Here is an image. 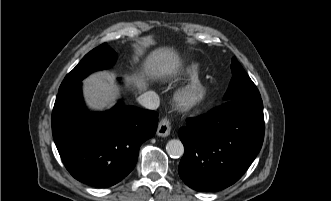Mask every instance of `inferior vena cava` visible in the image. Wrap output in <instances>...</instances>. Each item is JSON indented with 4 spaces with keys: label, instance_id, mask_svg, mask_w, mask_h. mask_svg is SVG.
Instances as JSON below:
<instances>
[{
    "label": "inferior vena cava",
    "instance_id": "obj_1",
    "mask_svg": "<svg viewBox=\"0 0 331 201\" xmlns=\"http://www.w3.org/2000/svg\"><path fill=\"white\" fill-rule=\"evenodd\" d=\"M139 103L147 109L155 110L160 105V99L154 91H148L140 95L138 98Z\"/></svg>",
    "mask_w": 331,
    "mask_h": 201
}]
</instances>
